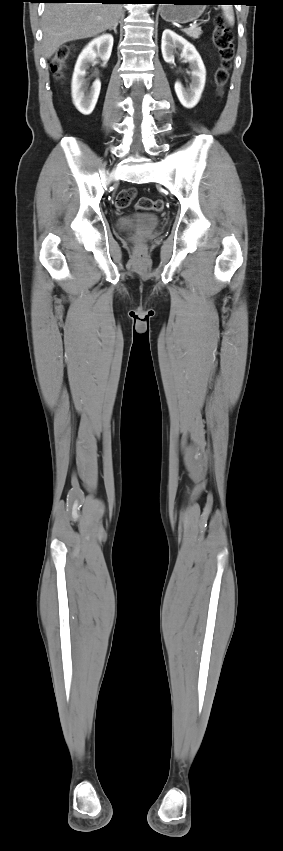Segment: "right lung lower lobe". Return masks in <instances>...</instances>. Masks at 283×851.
Wrapping results in <instances>:
<instances>
[{
    "mask_svg": "<svg viewBox=\"0 0 283 851\" xmlns=\"http://www.w3.org/2000/svg\"><path fill=\"white\" fill-rule=\"evenodd\" d=\"M44 2L124 4L136 3V0H44Z\"/></svg>",
    "mask_w": 283,
    "mask_h": 851,
    "instance_id": "right-lung-lower-lobe-1",
    "label": "right lung lower lobe"
}]
</instances>
